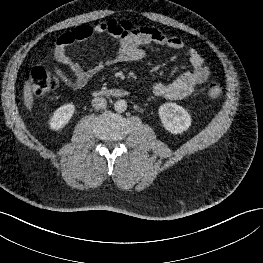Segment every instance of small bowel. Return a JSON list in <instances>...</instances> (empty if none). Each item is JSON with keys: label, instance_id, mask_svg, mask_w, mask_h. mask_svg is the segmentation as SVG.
<instances>
[{"label": "small bowel", "instance_id": "c3829d8e", "mask_svg": "<svg viewBox=\"0 0 263 263\" xmlns=\"http://www.w3.org/2000/svg\"><path fill=\"white\" fill-rule=\"evenodd\" d=\"M110 35L118 39L119 48L114 58L106 62H98L91 68L83 67L75 58L67 53V47L86 41L94 35ZM156 45L173 50L186 51L192 69L185 71L169 83L157 82L153 85L156 96L171 100H179L193 93L196 86L204 83L210 74L202 55L193 47H189L177 36H167L152 27H133L125 20H110L95 25L78 26L72 31L60 35L54 46L53 57L66 65L74 76L69 77L64 70L56 67L57 74L65 85L71 89H80L99 73L104 67L117 62H135L145 56V47Z\"/></svg>", "mask_w": 263, "mask_h": 263}]
</instances>
